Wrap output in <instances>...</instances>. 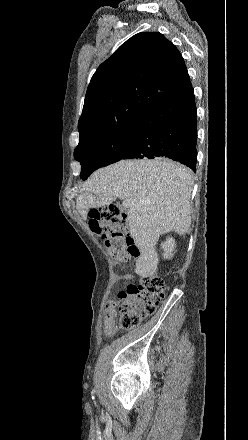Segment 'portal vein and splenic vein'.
I'll use <instances>...</instances> for the list:
<instances>
[{
	"mask_svg": "<svg viewBox=\"0 0 248 440\" xmlns=\"http://www.w3.org/2000/svg\"><path fill=\"white\" fill-rule=\"evenodd\" d=\"M132 204H133V200H130V199L124 200L122 203L124 208H129Z\"/></svg>",
	"mask_w": 248,
	"mask_h": 440,
	"instance_id": "portal-vein-and-splenic-vein-1",
	"label": "portal vein and splenic vein"
}]
</instances>
